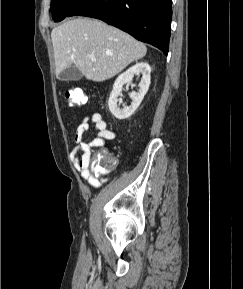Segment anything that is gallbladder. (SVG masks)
Returning <instances> with one entry per match:
<instances>
[{"label":"gallbladder","mask_w":243,"mask_h":289,"mask_svg":"<svg viewBox=\"0 0 243 289\" xmlns=\"http://www.w3.org/2000/svg\"><path fill=\"white\" fill-rule=\"evenodd\" d=\"M82 77L81 71L75 67L67 68L58 75L60 81H78Z\"/></svg>","instance_id":"gallbladder-1"}]
</instances>
